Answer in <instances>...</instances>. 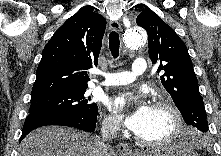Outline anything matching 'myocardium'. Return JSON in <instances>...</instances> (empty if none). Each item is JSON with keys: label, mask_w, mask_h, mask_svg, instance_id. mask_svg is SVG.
<instances>
[{"label": "myocardium", "mask_w": 221, "mask_h": 156, "mask_svg": "<svg viewBox=\"0 0 221 156\" xmlns=\"http://www.w3.org/2000/svg\"><path fill=\"white\" fill-rule=\"evenodd\" d=\"M154 108L164 109L168 111V113L171 115L173 124L170 133L159 139H146L137 134V141L140 144L149 147L162 146L174 141L180 135L183 129L182 114L174 103L169 100L162 99L154 104Z\"/></svg>", "instance_id": "myocardium-1"}]
</instances>
